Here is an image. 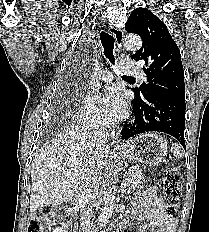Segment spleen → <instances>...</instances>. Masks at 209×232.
Listing matches in <instances>:
<instances>
[{"label": "spleen", "mask_w": 209, "mask_h": 232, "mask_svg": "<svg viewBox=\"0 0 209 232\" xmlns=\"http://www.w3.org/2000/svg\"><path fill=\"white\" fill-rule=\"evenodd\" d=\"M171 151L173 155L176 156L177 158H182L184 155L182 148L178 144H173Z\"/></svg>", "instance_id": "obj_1"}]
</instances>
